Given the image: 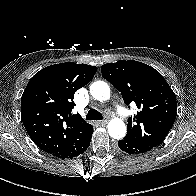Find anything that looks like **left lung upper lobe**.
Here are the masks:
<instances>
[{"instance_id":"left-lung-upper-lobe-1","label":"left lung upper lobe","mask_w":196,"mask_h":196,"mask_svg":"<svg viewBox=\"0 0 196 196\" xmlns=\"http://www.w3.org/2000/svg\"><path fill=\"white\" fill-rule=\"evenodd\" d=\"M102 77L121 92L125 104L140 110L129 118L127 139L154 148L165 139L176 119V97L164 77L138 61L121 60L101 67Z\"/></svg>"}]
</instances>
